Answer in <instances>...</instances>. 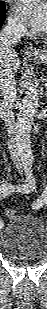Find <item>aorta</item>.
Segmentation results:
<instances>
[{"label": "aorta", "instance_id": "762f6f07", "mask_svg": "<svg viewBox=\"0 0 47 309\" xmlns=\"http://www.w3.org/2000/svg\"><path fill=\"white\" fill-rule=\"evenodd\" d=\"M38 103L36 85L30 83L21 100L15 130L16 149L22 158H32L31 129L37 114Z\"/></svg>", "mask_w": 47, "mask_h": 309}]
</instances>
